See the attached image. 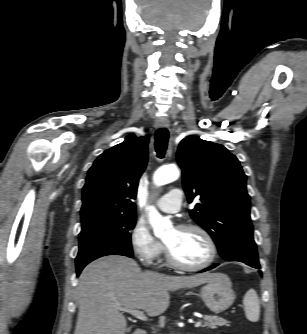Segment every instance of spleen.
Wrapping results in <instances>:
<instances>
[{
    "instance_id": "spleen-1",
    "label": "spleen",
    "mask_w": 307,
    "mask_h": 334,
    "mask_svg": "<svg viewBox=\"0 0 307 334\" xmlns=\"http://www.w3.org/2000/svg\"><path fill=\"white\" fill-rule=\"evenodd\" d=\"M246 317L251 322H257L260 316V302L254 289H249L243 299Z\"/></svg>"
}]
</instances>
